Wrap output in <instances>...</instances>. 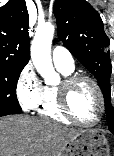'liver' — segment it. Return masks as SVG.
Wrapping results in <instances>:
<instances>
[{
	"label": "liver",
	"mask_w": 114,
	"mask_h": 156,
	"mask_svg": "<svg viewBox=\"0 0 114 156\" xmlns=\"http://www.w3.org/2000/svg\"><path fill=\"white\" fill-rule=\"evenodd\" d=\"M79 130L24 115L0 118V156H58Z\"/></svg>",
	"instance_id": "6515ba94"
}]
</instances>
